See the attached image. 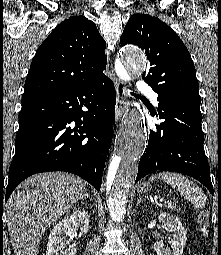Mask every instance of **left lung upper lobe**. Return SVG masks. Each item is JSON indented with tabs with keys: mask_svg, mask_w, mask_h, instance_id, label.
<instances>
[{
	"mask_svg": "<svg viewBox=\"0 0 221 255\" xmlns=\"http://www.w3.org/2000/svg\"><path fill=\"white\" fill-rule=\"evenodd\" d=\"M120 43L135 44L145 50L149 67L142 77L158 94L159 102H172L200 112L199 84L193 61L170 26L147 14L132 15Z\"/></svg>",
	"mask_w": 221,
	"mask_h": 255,
	"instance_id": "obj_1",
	"label": "left lung upper lobe"
}]
</instances>
